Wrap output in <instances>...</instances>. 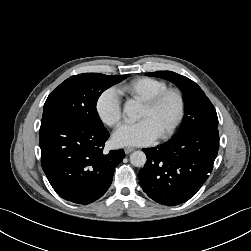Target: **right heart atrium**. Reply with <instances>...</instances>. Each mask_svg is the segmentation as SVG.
I'll return each instance as SVG.
<instances>
[{
    "instance_id": "obj_1",
    "label": "right heart atrium",
    "mask_w": 251,
    "mask_h": 251,
    "mask_svg": "<svg viewBox=\"0 0 251 251\" xmlns=\"http://www.w3.org/2000/svg\"><path fill=\"white\" fill-rule=\"evenodd\" d=\"M95 110L99 119L109 127H117L122 118V108L119 92L108 88L101 92L96 99Z\"/></svg>"
}]
</instances>
